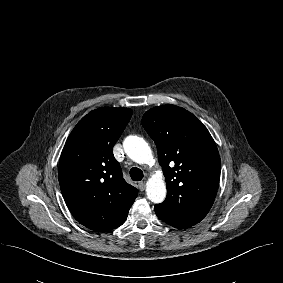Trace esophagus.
Segmentation results:
<instances>
[{
  "instance_id": "34e87169",
  "label": "esophagus",
  "mask_w": 283,
  "mask_h": 283,
  "mask_svg": "<svg viewBox=\"0 0 283 283\" xmlns=\"http://www.w3.org/2000/svg\"><path fill=\"white\" fill-rule=\"evenodd\" d=\"M140 191H144L146 187V183L144 181L139 182L138 184Z\"/></svg>"
}]
</instances>
